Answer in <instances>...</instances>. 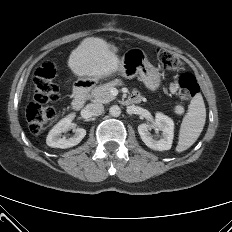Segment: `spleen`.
<instances>
[{
  "instance_id": "obj_1",
  "label": "spleen",
  "mask_w": 232,
  "mask_h": 232,
  "mask_svg": "<svg viewBox=\"0 0 232 232\" xmlns=\"http://www.w3.org/2000/svg\"><path fill=\"white\" fill-rule=\"evenodd\" d=\"M206 121V108L201 94L195 95L189 106L188 112L180 126L177 152H183L191 147L200 136Z\"/></svg>"
}]
</instances>
